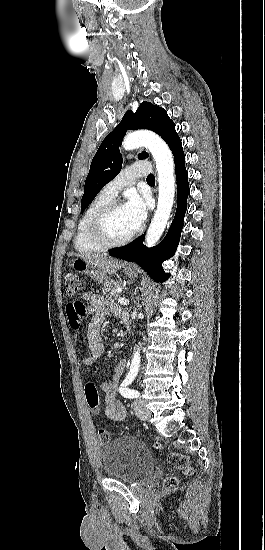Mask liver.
<instances>
[{
	"mask_svg": "<svg viewBox=\"0 0 265 550\" xmlns=\"http://www.w3.org/2000/svg\"><path fill=\"white\" fill-rule=\"evenodd\" d=\"M81 258L95 265L104 274H114L125 265L122 261L112 259L104 254H88L81 256Z\"/></svg>",
	"mask_w": 265,
	"mask_h": 550,
	"instance_id": "liver-1",
	"label": "liver"
}]
</instances>
